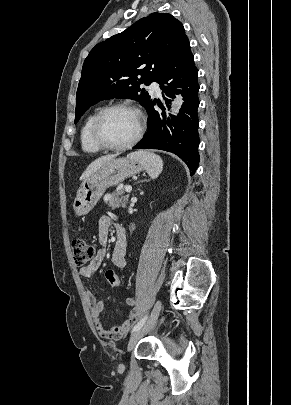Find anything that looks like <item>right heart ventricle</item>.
I'll use <instances>...</instances> for the list:
<instances>
[{"label": "right heart ventricle", "instance_id": "1", "mask_svg": "<svg viewBox=\"0 0 291 405\" xmlns=\"http://www.w3.org/2000/svg\"><path fill=\"white\" fill-rule=\"evenodd\" d=\"M95 115H96L95 112L89 114L86 117V119L84 120L81 130H80L81 149L83 152L90 153V154L98 153L99 151H101V148L98 147L92 141L91 134H90L91 124H92V121H93Z\"/></svg>", "mask_w": 291, "mask_h": 405}]
</instances>
